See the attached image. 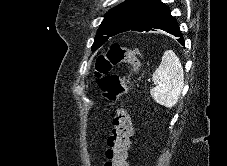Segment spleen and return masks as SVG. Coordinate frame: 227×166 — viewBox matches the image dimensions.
Returning a JSON list of instances; mask_svg holds the SVG:
<instances>
[{
    "mask_svg": "<svg viewBox=\"0 0 227 166\" xmlns=\"http://www.w3.org/2000/svg\"><path fill=\"white\" fill-rule=\"evenodd\" d=\"M152 80L156 85L150 90L154 101L167 108L175 106L184 86V72L179 58L172 50L164 52Z\"/></svg>",
    "mask_w": 227,
    "mask_h": 166,
    "instance_id": "1",
    "label": "spleen"
}]
</instances>
